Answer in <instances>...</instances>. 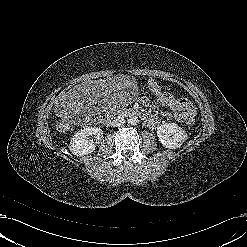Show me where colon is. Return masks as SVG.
<instances>
[{
	"mask_svg": "<svg viewBox=\"0 0 247 247\" xmlns=\"http://www.w3.org/2000/svg\"><path fill=\"white\" fill-rule=\"evenodd\" d=\"M153 101L157 105H162L166 103H172L174 101V96L169 93H158L153 96ZM196 120L194 116H189L187 120L188 126H193L195 124ZM71 127V122L69 119H60L57 123V129L60 132H65L69 130Z\"/></svg>",
	"mask_w": 247,
	"mask_h": 247,
	"instance_id": "1",
	"label": "colon"
}]
</instances>
